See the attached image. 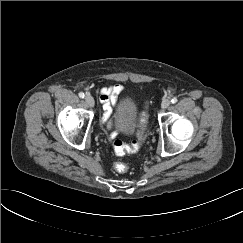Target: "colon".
Returning <instances> with one entry per match:
<instances>
[{"label":"colon","instance_id":"1","mask_svg":"<svg viewBox=\"0 0 243 243\" xmlns=\"http://www.w3.org/2000/svg\"><path fill=\"white\" fill-rule=\"evenodd\" d=\"M145 122V118L142 117L140 120V127L137 139L134 140L131 144H126L121 140L114 141L113 148L117 155L122 156L126 153H133L139 150L144 136ZM114 169L119 173H124L127 171L128 167L122 162H117L114 164Z\"/></svg>","mask_w":243,"mask_h":243}]
</instances>
